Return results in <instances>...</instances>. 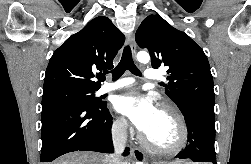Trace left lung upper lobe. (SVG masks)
Masks as SVG:
<instances>
[{"label": "left lung upper lobe", "mask_w": 251, "mask_h": 164, "mask_svg": "<svg viewBox=\"0 0 251 164\" xmlns=\"http://www.w3.org/2000/svg\"><path fill=\"white\" fill-rule=\"evenodd\" d=\"M136 42L148 49L152 67L167 66L165 93L181 112L191 106L214 108L215 94L208 59L186 33L157 15L146 17L136 32Z\"/></svg>", "instance_id": "left-lung-upper-lobe-1"}]
</instances>
